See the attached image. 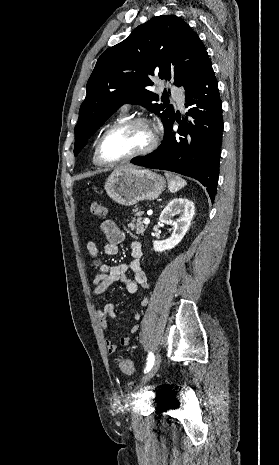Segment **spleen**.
<instances>
[{
	"mask_svg": "<svg viewBox=\"0 0 279 465\" xmlns=\"http://www.w3.org/2000/svg\"><path fill=\"white\" fill-rule=\"evenodd\" d=\"M165 176L168 180V188L172 193L177 192L186 185V181L177 175L165 173Z\"/></svg>",
	"mask_w": 279,
	"mask_h": 465,
	"instance_id": "3e777b00",
	"label": "spleen"
}]
</instances>
